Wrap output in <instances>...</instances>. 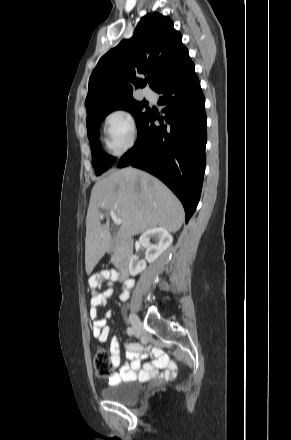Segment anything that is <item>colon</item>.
Here are the masks:
<instances>
[{
  "instance_id": "colon-1",
  "label": "colon",
  "mask_w": 291,
  "mask_h": 440,
  "mask_svg": "<svg viewBox=\"0 0 291 440\" xmlns=\"http://www.w3.org/2000/svg\"><path fill=\"white\" fill-rule=\"evenodd\" d=\"M93 368L97 376L108 377L111 374L110 360L103 349H98L93 358Z\"/></svg>"
}]
</instances>
